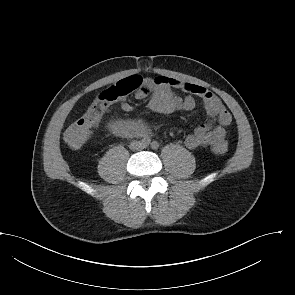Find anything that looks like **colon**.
Listing matches in <instances>:
<instances>
[{
	"label": "colon",
	"instance_id": "1",
	"mask_svg": "<svg viewBox=\"0 0 295 295\" xmlns=\"http://www.w3.org/2000/svg\"><path fill=\"white\" fill-rule=\"evenodd\" d=\"M143 84L139 75H133L118 81L101 91L89 105L85 113L67 127L64 141L72 148H80L89 139L98 124L102 113L112 104L118 102L128 94L138 91ZM216 154H225L228 150L227 142H220L212 147Z\"/></svg>",
	"mask_w": 295,
	"mask_h": 295
}]
</instances>
